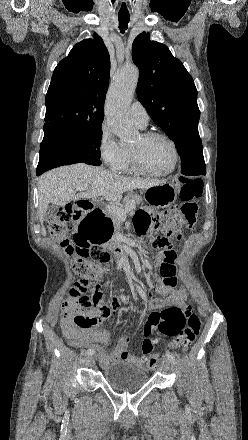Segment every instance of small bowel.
I'll return each mask as SVG.
<instances>
[{
	"instance_id": "c3829d8e",
	"label": "small bowel",
	"mask_w": 248,
	"mask_h": 440,
	"mask_svg": "<svg viewBox=\"0 0 248 440\" xmlns=\"http://www.w3.org/2000/svg\"><path fill=\"white\" fill-rule=\"evenodd\" d=\"M157 227V221L154 217L145 210L139 211L135 216V228L138 234H145L148 230ZM153 268L154 279H159V284H155L153 280L147 281L148 287H155V291H147L137 283H134L135 289L142 298L143 303L151 310H159L172 305L179 306L183 309H189L186 292L183 289H176L178 283V267L175 264L173 257H162L155 259ZM105 281L109 280L108 276L103 278ZM100 294V301L96 306V310H82L67 301L61 307L60 311V326L63 334L68 339L71 346L75 348L90 347L97 351L99 363L102 367L115 363L117 361H127L136 366H148L146 358H140L131 354L128 351V344L130 337L122 335L114 350L108 352L105 350V345L109 342V333L104 329L97 327L106 319L110 318L119 308V301L117 298L111 299L109 302L104 301L103 294L98 287ZM155 293L160 295H167L158 297ZM77 313H83L89 317L91 323L87 327H80L73 321V317Z\"/></svg>"
}]
</instances>
